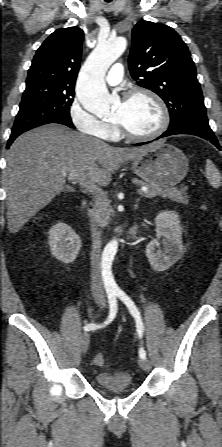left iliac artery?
<instances>
[{"label": "left iliac artery", "mask_w": 222, "mask_h": 447, "mask_svg": "<svg viewBox=\"0 0 222 447\" xmlns=\"http://www.w3.org/2000/svg\"><path fill=\"white\" fill-rule=\"evenodd\" d=\"M114 293L120 300L124 302V304L128 307L132 316L135 318L138 335L140 338H142L144 332V325L138 308L131 300V298L123 290L116 289ZM139 355L143 359L146 358V351L144 350L143 347L139 349Z\"/></svg>", "instance_id": "44dca946"}]
</instances>
